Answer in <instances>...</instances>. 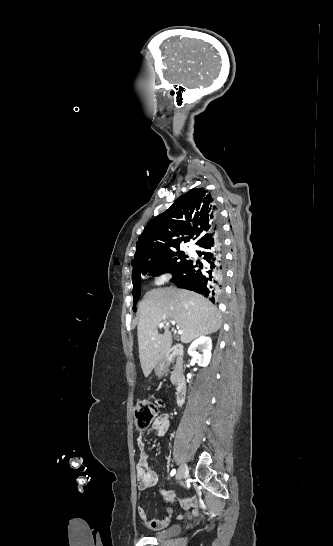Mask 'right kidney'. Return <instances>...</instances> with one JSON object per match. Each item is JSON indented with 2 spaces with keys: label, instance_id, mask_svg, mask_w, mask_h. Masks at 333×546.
<instances>
[{
  "label": "right kidney",
  "instance_id": "obj_1",
  "mask_svg": "<svg viewBox=\"0 0 333 546\" xmlns=\"http://www.w3.org/2000/svg\"><path fill=\"white\" fill-rule=\"evenodd\" d=\"M212 340L210 337H200L192 342L188 354L199 366L206 367L211 359Z\"/></svg>",
  "mask_w": 333,
  "mask_h": 546
}]
</instances>
